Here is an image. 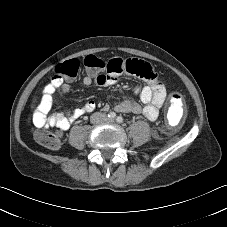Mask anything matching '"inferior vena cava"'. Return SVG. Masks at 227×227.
Masks as SVG:
<instances>
[{
    "label": "inferior vena cava",
    "mask_w": 227,
    "mask_h": 227,
    "mask_svg": "<svg viewBox=\"0 0 227 227\" xmlns=\"http://www.w3.org/2000/svg\"><path fill=\"white\" fill-rule=\"evenodd\" d=\"M106 117H105V115L104 114H102V113H95L94 115H93V119H105Z\"/></svg>",
    "instance_id": "602c4592"
}]
</instances>
